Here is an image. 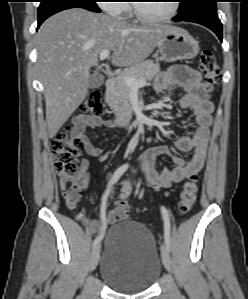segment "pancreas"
Returning <instances> with one entry per match:
<instances>
[{
    "mask_svg": "<svg viewBox=\"0 0 248 299\" xmlns=\"http://www.w3.org/2000/svg\"><path fill=\"white\" fill-rule=\"evenodd\" d=\"M159 71V63L153 60L142 61L123 71L106 92V102L110 109L121 118H130L133 111L130 103L131 87L123 81V77L132 76L146 82L152 80Z\"/></svg>",
    "mask_w": 248,
    "mask_h": 299,
    "instance_id": "cf45deb5",
    "label": "pancreas"
}]
</instances>
